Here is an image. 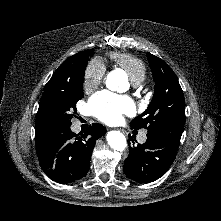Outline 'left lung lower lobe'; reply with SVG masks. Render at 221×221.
Here are the masks:
<instances>
[{
    "label": "left lung lower lobe",
    "instance_id": "0a47b994",
    "mask_svg": "<svg viewBox=\"0 0 221 221\" xmlns=\"http://www.w3.org/2000/svg\"><path fill=\"white\" fill-rule=\"evenodd\" d=\"M182 131L158 129L147 134L144 144L130 146L129 155L124 162V173L132 180L148 183L163 176L174 161L179 147ZM134 143V139H133Z\"/></svg>",
    "mask_w": 221,
    "mask_h": 221
}]
</instances>
